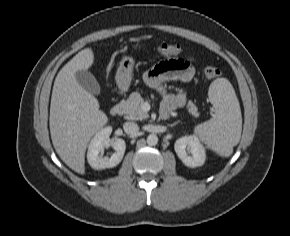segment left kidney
Masks as SVG:
<instances>
[{"mask_svg":"<svg viewBox=\"0 0 290 236\" xmlns=\"http://www.w3.org/2000/svg\"><path fill=\"white\" fill-rule=\"evenodd\" d=\"M174 149L181 161L188 167L202 166L205 162V148L196 136L179 138L175 142Z\"/></svg>","mask_w":290,"mask_h":236,"instance_id":"obj_1","label":"left kidney"}]
</instances>
